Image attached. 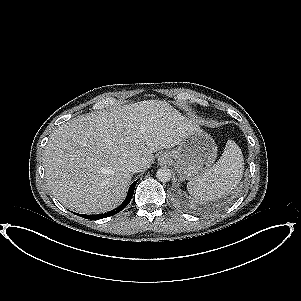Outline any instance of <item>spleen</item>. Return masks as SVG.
I'll list each match as a JSON object with an SVG mask.
<instances>
[{
  "mask_svg": "<svg viewBox=\"0 0 301 301\" xmlns=\"http://www.w3.org/2000/svg\"><path fill=\"white\" fill-rule=\"evenodd\" d=\"M243 171L242 152L233 141L229 140L220 159L203 175L188 182V192L194 198L204 201L229 195L240 183Z\"/></svg>",
  "mask_w": 301,
  "mask_h": 301,
  "instance_id": "obj_1",
  "label": "spleen"
}]
</instances>
